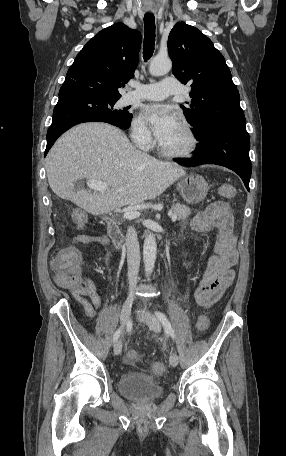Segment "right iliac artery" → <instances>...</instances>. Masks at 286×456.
Wrapping results in <instances>:
<instances>
[{"mask_svg":"<svg viewBox=\"0 0 286 456\" xmlns=\"http://www.w3.org/2000/svg\"><path fill=\"white\" fill-rule=\"evenodd\" d=\"M121 332H122V328H119V329L115 332V334H114V336H113V342H114V343L118 340V338H119Z\"/></svg>","mask_w":286,"mask_h":456,"instance_id":"1","label":"right iliac artery"}]
</instances>
